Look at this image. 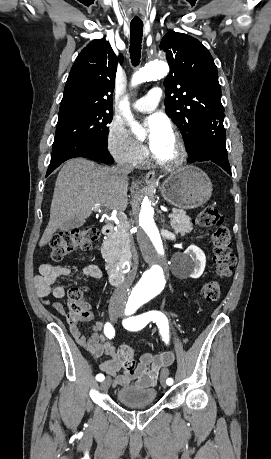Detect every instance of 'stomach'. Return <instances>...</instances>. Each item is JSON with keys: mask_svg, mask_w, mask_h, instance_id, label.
Instances as JSON below:
<instances>
[{"mask_svg": "<svg viewBox=\"0 0 271 459\" xmlns=\"http://www.w3.org/2000/svg\"><path fill=\"white\" fill-rule=\"evenodd\" d=\"M156 190L157 186H150ZM164 200L181 208L191 210L208 202L212 194V184L205 172L196 166H183L172 172L159 188Z\"/></svg>", "mask_w": 271, "mask_h": 459, "instance_id": "0dacf381", "label": "stomach"}]
</instances>
